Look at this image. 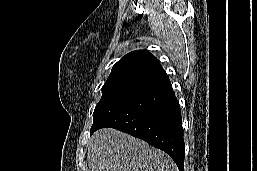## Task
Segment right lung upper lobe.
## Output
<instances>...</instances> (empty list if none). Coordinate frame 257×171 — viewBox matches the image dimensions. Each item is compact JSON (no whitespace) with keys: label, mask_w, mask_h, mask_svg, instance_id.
<instances>
[{"label":"right lung upper lobe","mask_w":257,"mask_h":171,"mask_svg":"<svg viewBox=\"0 0 257 171\" xmlns=\"http://www.w3.org/2000/svg\"><path fill=\"white\" fill-rule=\"evenodd\" d=\"M168 79L156 57L147 50H136L123 56L112 68L103 87L147 89Z\"/></svg>","instance_id":"obj_1"}]
</instances>
